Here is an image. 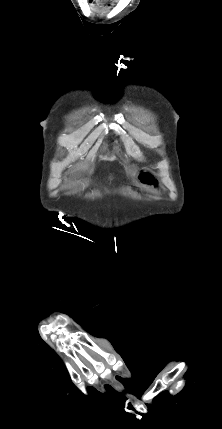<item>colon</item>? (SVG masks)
Here are the masks:
<instances>
[{
	"label": "colon",
	"instance_id": "obj_1",
	"mask_svg": "<svg viewBox=\"0 0 222 429\" xmlns=\"http://www.w3.org/2000/svg\"><path fill=\"white\" fill-rule=\"evenodd\" d=\"M138 179L145 186H156L157 184L154 175L147 170L141 171Z\"/></svg>",
	"mask_w": 222,
	"mask_h": 429
}]
</instances>
